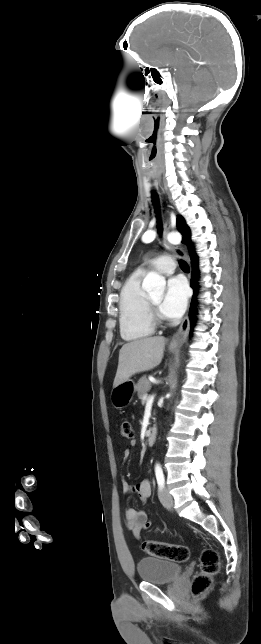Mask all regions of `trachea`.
<instances>
[{
  "mask_svg": "<svg viewBox=\"0 0 261 644\" xmlns=\"http://www.w3.org/2000/svg\"><path fill=\"white\" fill-rule=\"evenodd\" d=\"M153 201H154L155 205H157V197H156V195H153ZM158 230H159V233L162 232V226L161 225L158 226ZM179 265L183 270H186V271L189 270V266L185 261L180 260Z\"/></svg>",
  "mask_w": 261,
  "mask_h": 644,
  "instance_id": "obj_1",
  "label": "trachea"
}]
</instances>
